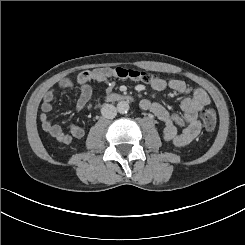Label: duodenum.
<instances>
[{
	"instance_id": "410a0bca",
	"label": "duodenum",
	"mask_w": 245,
	"mask_h": 245,
	"mask_svg": "<svg viewBox=\"0 0 245 245\" xmlns=\"http://www.w3.org/2000/svg\"><path fill=\"white\" fill-rule=\"evenodd\" d=\"M124 98H127V96H124V95H120V94H111L108 99L109 100H122Z\"/></svg>"
}]
</instances>
